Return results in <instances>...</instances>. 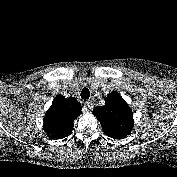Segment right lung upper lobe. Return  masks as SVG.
<instances>
[{"label": "right lung upper lobe", "instance_id": "obj_1", "mask_svg": "<svg viewBox=\"0 0 177 177\" xmlns=\"http://www.w3.org/2000/svg\"><path fill=\"white\" fill-rule=\"evenodd\" d=\"M82 106L74 97L57 95L44 116V130L51 139L67 137L73 122L81 114Z\"/></svg>", "mask_w": 177, "mask_h": 177}]
</instances>
